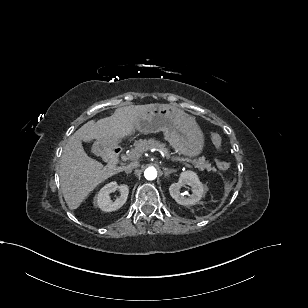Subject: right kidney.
<instances>
[{
	"label": "right kidney",
	"mask_w": 308,
	"mask_h": 308,
	"mask_svg": "<svg viewBox=\"0 0 308 308\" xmlns=\"http://www.w3.org/2000/svg\"><path fill=\"white\" fill-rule=\"evenodd\" d=\"M116 190L120 191V196L112 202L109 194L115 192ZM129 187L125 184L118 185L116 182H110L106 184L96 196L97 206L105 212H112L118 210L122 207L128 197Z\"/></svg>",
	"instance_id": "right-kidney-1"
}]
</instances>
